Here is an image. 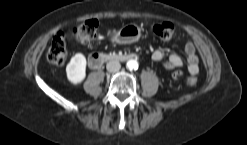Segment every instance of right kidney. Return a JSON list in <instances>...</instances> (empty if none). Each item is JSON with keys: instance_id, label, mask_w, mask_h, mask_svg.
I'll return each mask as SVG.
<instances>
[{"instance_id": "1", "label": "right kidney", "mask_w": 247, "mask_h": 145, "mask_svg": "<svg viewBox=\"0 0 247 145\" xmlns=\"http://www.w3.org/2000/svg\"><path fill=\"white\" fill-rule=\"evenodd\" d=\"M86 58L83 54H75L66 67L68 80L72 84L81 83L86 77Z\"/></svg>"}]
</instances>
